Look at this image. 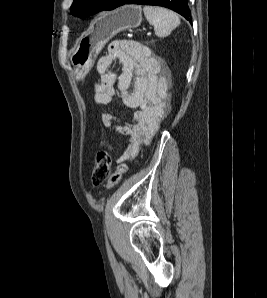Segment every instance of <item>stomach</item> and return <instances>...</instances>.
<instances>
[{"label": "stomach", "mask_w": 267, "mask_h": 298, "mask_svg": "<svg viewBox=\"0 0 267 298\" xmlns=\"http://www.w3.org/2000/svg\"><path fill=\"white\" fill-rule=\"evenodd\" d=\"M142 10L138 5H124L97 19L88 35L81 38L71 54L77 79H83L104 45L117 33L138 27Z\"/></svg>", "instance_id": "0dacf381"}]
</instances>
